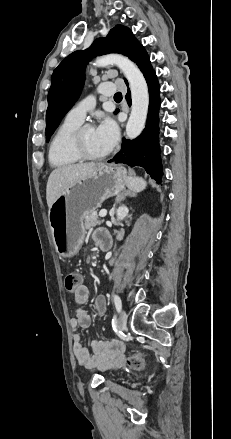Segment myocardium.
I'll return each mask as SVG.
<instances>
[{
    "label": "myocardium",
    "instance_id": "myocardium-1",
    "mask_svg": "<svg viewBox=\"0 0 231 439\" xmlns=\"http://www.w3.org/2000/svg\"><path fill=\"white\" fill-rule=\"evenodd\" d=\"M90 125L79 126L72 134L70 146L73 153L81 160H101L105 158L109 152L100 155H94L88 152L83 144V133Z\"/></svg>",
    "mask_w": 231,
    "mask_h": 439
}]
</instances>
